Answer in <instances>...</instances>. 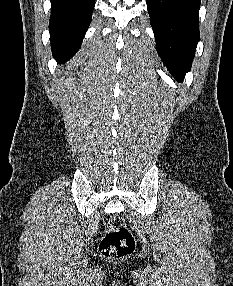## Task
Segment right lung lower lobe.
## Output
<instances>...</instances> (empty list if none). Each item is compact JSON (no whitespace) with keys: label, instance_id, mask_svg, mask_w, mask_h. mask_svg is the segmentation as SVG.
Returning <instances> with one entry per match:
<instances>
[{"label":"right lung lower lobe","instance_id":"98d812e1","mask_svg":"<svg viewBox=\"0 0 233 286\" xmlns=\"http://www.w3.org/2000/svg\"><path fill=\"white\" fill-rule=\"evenodd\" d=\"M49 22L52 53L58 63L78 51L90 25L95 0H50Z\"/></svg>","mask_w":233,"mask_h":286}]
</instances>
